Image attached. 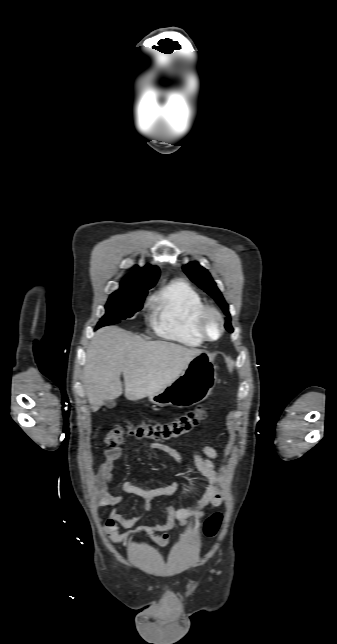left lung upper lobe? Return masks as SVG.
Returning <instances> with one entry per match:
<instances>
[{"instance_id":"left-lung-upper-lobe-1","label":"left lung upper lobe","mask_w":337,"mask_h":644,"mask_svg":"<svg viewBox=\"0 0 337 644\" xmlns=\"http://www.w3.org/2000/svg\"><path fill=\"white\" fill-rule=\"evenodd\" d=\"M183 270L190 278V280L198 285L206 293H208L222 308L226 316L230 317L228 304L225 302L221 292L217 288L216 283L212 279L209 272L205 268L200 266L198 262H191L185 265L183 267ZM225 326L228 330H232L229 319H227Z\"/></svg>"}]
</instances>
